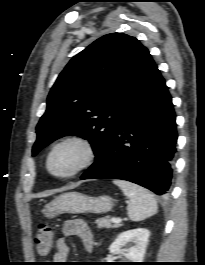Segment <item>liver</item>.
I'll list each match as a JSON object with an SVG mask.
<instances>
[{
  "label": "liver",
  "instance_id": "obj_1",
  "mask_svg": "<svg viewBox=\"0 0 205 265\" xmlns=\"http://www.w3.org/2000/svg\"><path fill=\"white\" fill-rule=\"evenodd\" d=\"M50 195V193L49 194H42V195H40L41 197H45V196H49Z\"/></svg>",
  "mask_w": 205,
  "mask_h": 265
}]
</instances>
